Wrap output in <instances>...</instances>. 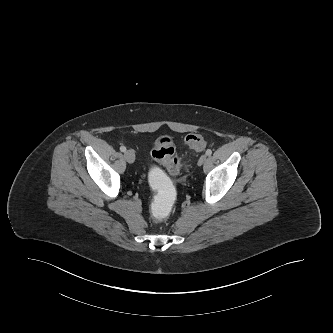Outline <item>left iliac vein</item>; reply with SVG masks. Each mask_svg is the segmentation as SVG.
Segmentation results:
<instances>
[{
	"label": "left iliac vein",
	"mask_w": 333,
	"mask_h": 333,
	"mask_svg": "<svg viewBox=\"0 0 333 333\" xmlns=\"http://www.w3.org/2000/svg\"><path fill=\"white\" fill-rule=\"evenodd\" d=\"M207 160V156L206 155H202L199 160H198V165L201 166L204 164V162Z\"/></svg>",
	"instance_id": "obj_1"
}]
</instances>
